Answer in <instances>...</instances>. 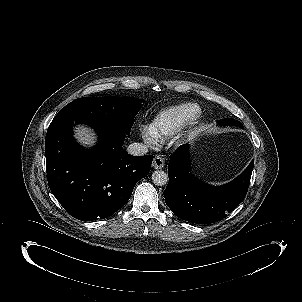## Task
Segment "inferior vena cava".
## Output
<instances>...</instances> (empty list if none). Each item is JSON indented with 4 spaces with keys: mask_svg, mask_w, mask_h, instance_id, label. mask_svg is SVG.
<instances>
[{
    "mask_svg": "<svg viewBox=\"0 0 302 302\" xmlns=\"http://www.w3.org/2000/svg\"><path fill=\"white\" fill-rule=\"evenodd\" d=\"M127 152L133 156H142L148 153V147L143 143H132L127 147Z\"/></svg>",
    "mask_w": 302,
    "mask_h": 302,
    "instance_id": "602c4592",
    "label": "inferior vena cava"
}]
</instances>
